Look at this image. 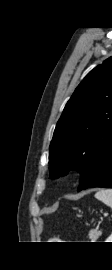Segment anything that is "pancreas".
<instances>
[{"mask_svg": "<svg viewBox=\"0 0 112 270\" xmlns=\"http://www.w3.org/2000/svg\"><path fill=\"white\" fill-rule=\"evenodd\" d=\"M101 230L98 229H92L89 231V238L91 239L92 242H94L98 237L101 235Z\"/></svg>", "mask_w": 112, "mask_h": 270, "instance_id": "pancreas-1", "label": "pancreas"}]
</instances>
